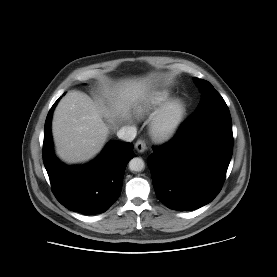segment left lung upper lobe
I'll use <instances>...</instances> for the list:
<instances>
[{"instance_id":"1","label":"left lung upper lobe","mask_w":277,"mask_h":277,"mask_svg":"<svg viewBox=\"0 0 277 277\" xmlns=\"http://www.w3.org/2000/svg\"><path fill=\"white\" fill-rule=\"evenodd\" d=\"M194 80L202 91V98L193 114L202 112L213 106L226 105L222 96L208 81L199 78H194Z\"/></svg>"}]
</instances>
